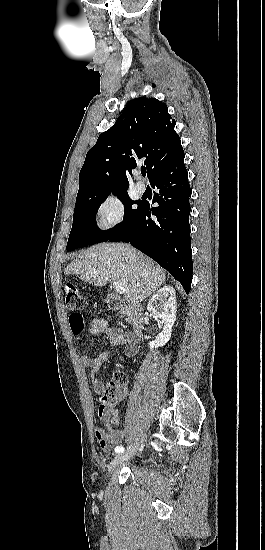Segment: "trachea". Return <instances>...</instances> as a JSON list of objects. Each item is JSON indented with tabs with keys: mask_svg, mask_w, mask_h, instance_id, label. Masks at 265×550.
Here are the masks:
<instances>
[{
	"mask_svg": "<svg viewBox=\"0 0 265 550\" xmlns=\"http://www.w3.org/2000/svg\"><path fill=\"white\" fill-rule=\"evenodd\" d=\"M141 174H142L143 176L146 175V169H145V168H142V169H141Z\"/></svg>",
	"mask_w": 265,
	"mask_h": 550,
	"instance_id": "trachea-1",
	"label": "trachea"
}]
</instances>
